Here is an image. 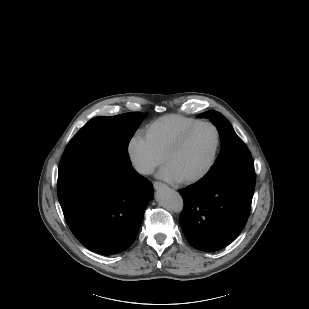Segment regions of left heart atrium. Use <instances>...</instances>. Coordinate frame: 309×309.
<instances>
[{"mask_svg": "<svg viewBox=\"0 0 309 309\" xmlns=\"http://www.w3.org/2000/svg\"><path fill=\"white\" fill-rule=\"evenodd\" d=\"M158 177L168 181L170 183H180L182 181L181 176L176 170L169 164H166L159 172Z\"/></svg>", "mask_w": 309, "mask_h": 309, "instance_id": "obj_1", "label": "left heart atrium"}]
</instances>
